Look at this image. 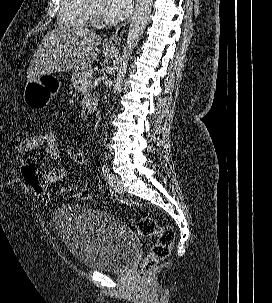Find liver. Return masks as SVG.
Segmentation results:
<instances>
[{"label": "liver", "instance_id": "1", "mask_svg": "<svg viewBox=\"0 0 272 303\" xmlns=\"http://www.w3.org/2000/svg\"><path fill=\"white\" fill-rule=\"evenodd\" d=\"M102 39L84 27H56L48 32L30 62L27 78L87 69L96 60Z\"/></svg>", "mask_w": 272, "mask_h": 303}]
</instances>
